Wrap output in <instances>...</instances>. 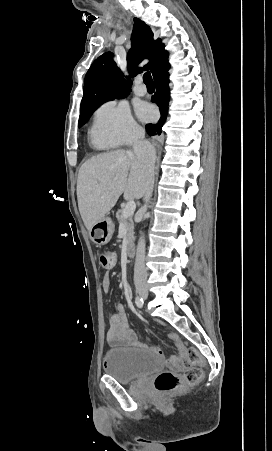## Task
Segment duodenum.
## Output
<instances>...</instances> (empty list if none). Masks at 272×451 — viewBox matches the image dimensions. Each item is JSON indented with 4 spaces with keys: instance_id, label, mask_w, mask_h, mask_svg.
Instances as JSON below:
<instances>
[{
    "instance_id": "410a0bca",
    "label": "duodenum",
    "mask_w": 272,
    "mask_h": 451,
    "mask_svg": "<svg viewBox=\"0 0 272 451\" xmlns=\"http://www.w3.org/2000/svg\"><path fill=\"white\" fill-rule=\"evenodd\" d=\"M134 253H135V249H134V246L133 245H128L127 246V255L129 256V257H133L134 256Z\"/></svg>"
}]
</instances>
